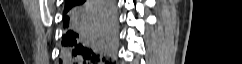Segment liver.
Wrapping results in <instances>:
<instances>
[{"label":"liver","instance_id":"1","mask_svg":"<svg viewBox=\"0 0 242 64\" xmlns=\"http://www.w3.org/2000/svg\"><path fill=\"white\" fill-rule=\"evenodd\" d=\"M86 24L99 33H103L108 29L107 25L98 17L96 11L91 13L89 19L86 21Z\"/></svg>","mask_w":242,"mask_h":64}]
</instances>
